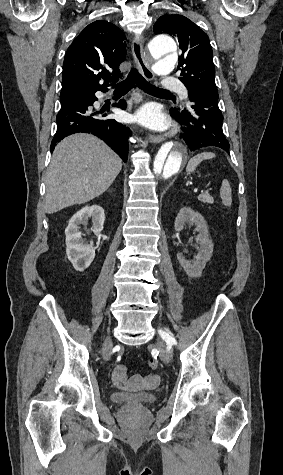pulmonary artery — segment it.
Returning a JSON list of instances; mask_svg holds the SVG:
<instances>
[{"label": "pulmonary artery", "mask_w": 283, "mask_h": 475, "mask_svg": "<svg viewBox=\"0 0 283 475\" xmlns=\"http://www.w3.org/2000/svg\"><path fill=\"white\" fill-rule=\"evenodd\" d=\"M161 89H174L175 88V81L174 80H161L159 83ZM177 95L178 96H187L188 95V88L184 87L183 85L178 82L177 84Z\"/></svg>", "instance_id": "1"}]
</instances>
